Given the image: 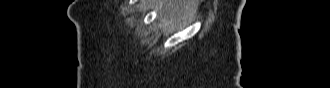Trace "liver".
<instances>
[{
  "instance_id": "6515ba94",
  "label": "liver",
  "mask_w": 330,
  "mask_h": 88,
  "mask_svg": "<svg viewBox=\"0 0 330 88\" xmlns=\"http://www.w3.org/2000/svg\"><path fill=\"white\" fill-rule=\"evenodd\" d=\"M197 10V3L191 0H169L160 6L161 18L181 22L189 19Z\"/></svg>"
}]
</instances>
